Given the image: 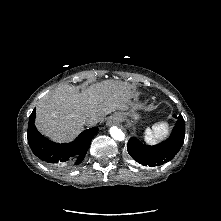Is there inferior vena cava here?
Listing matches in <instances>:
<instances>
[{
  "instance_id": "inferior-vena-cava-1",
  "label": "inferior vena cava",
  "mask_w": 221,
  "mask_h": 221,
  "mask_svg": "<svg viewBox=\"0 0 221 221\" xmlns=\"http://www.w3.org/2000/svg\"><path fill=\"white\" fill-rule=\"evenodd\" d=\"M98 123V121L95 118H87L84 122L87 126H94Z\"/></svg>"
}]
</instances>
